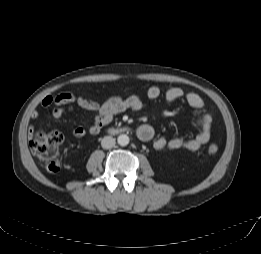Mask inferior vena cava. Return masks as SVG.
<instances>
[{
    "label": "inferior vena cava",
    "mask_w": 261,
    "mask_h": 254,
    "mask_svg": "<svg viewBox=\"0 0 261 254\" xmlns=\"http://www.w3.org/2000/svg\"><path fill=\"white\" fill-rule=\"evenodd\" d=\"M115 138L111 136H105L101 141V146L104 149H111L115 146Z\"/></svg>",
    "instance_id": "inferior-vena-cava-1"
}]
</instances>
